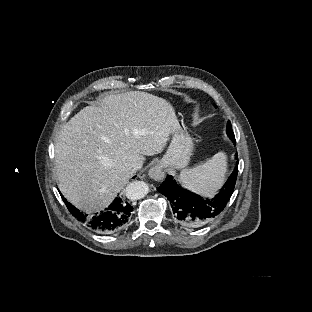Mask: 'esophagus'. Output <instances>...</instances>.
<instances>
[{
    "instance_id": "34e87169",
    "label": "esophagus",
    "mask_w": 312,
    "mask_h": 312,
    "mask_svg": "<svg viewBox=\"0 0 312 312\" xmlns=\"http://www.w3.org/2000/svg\"><path fill=\"white\" fill-rule=\"evenodd\" d=\"M148 176L155 181H161L165 177L163 169L160 165L152 167L148 171Z\"/></svg>"
}]
</instances>
